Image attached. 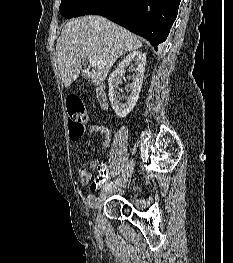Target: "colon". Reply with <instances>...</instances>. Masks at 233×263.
Segmentation results:
<instances>
[{
  "mask_svg": "<svg viewBox=\"0 0 233 263\" xmlns=\"http://www.w3.org/2000/svg\"><path fill=\"white\" fill-rule=\"evenodd\" d=\"M68 122H69V135L72 140L80 139L85 133L86 126L89 122V114L83 101L79 97H71L66 103ZM97 178L91 184V189H95L98 195H105V184L109 183L111 176L107 175V171H96Z\"/></svg>",
  "mask_w": 233,
  "mask_h": 263,
  "instance_id": "1",
  "label": "colon"
}]
</instances>
